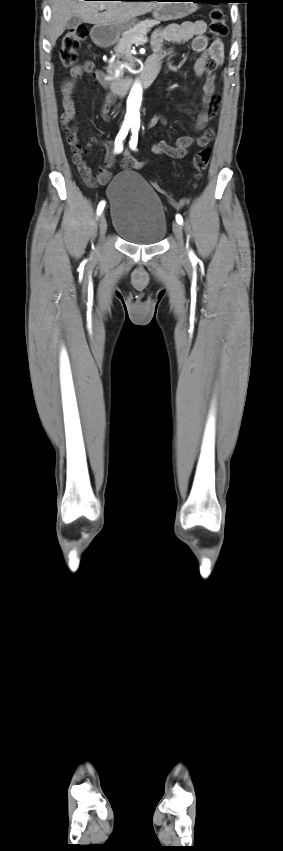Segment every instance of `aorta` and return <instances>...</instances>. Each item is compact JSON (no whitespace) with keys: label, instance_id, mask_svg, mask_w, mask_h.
<instances>
[{"label":"aorta","instance_id":"1","mask_svg":"<svg viewBox=\"0 0 283 851\" xmlns=\"http://www.w3.org/2000/svg\"><path fill=\"white\" fill-rule=\"evenodd\" d=\"M142 99V87L139 83H135L130 91L127 100V115L126 120L130 122L139 121V108Z\"/></svg>","mask_w":283,"mask_h":851}]
</instances>
